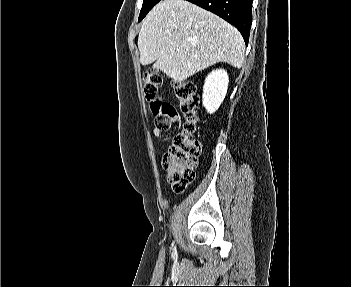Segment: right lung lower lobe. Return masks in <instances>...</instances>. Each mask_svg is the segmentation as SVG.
I'll use <instances>...</instances> for the list:
<instances>
[{
  "label": "right lung lower lobe",
  "mask_w": 351,
  "mask_h": 287,
  "mask_svg": "<svg viewBox=\"0 0 351 287\" xmlns=\"http://www.w3.org/2000/svg\"><path fill=\"white\" fill-rule=\"evenodd\" d=\"M220 16L234 25L248 44L253 0H187Z\"/></svg>",
  "instance_id": "98d812e1"
}]
</instances>
